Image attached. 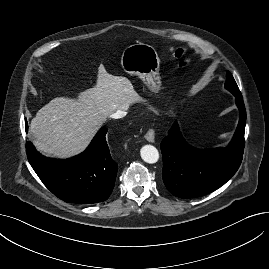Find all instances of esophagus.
<instances>
[{
	"label": "esophagus",
	"mask_w": 269,
	"mask_h": 269,
	"mask_svg": "<svg viewBox=\"0 0 269 269\" xmlns=\"http://www.w3.org/2000/svg\"><path fill=\"white\" fill-rule=\"evenodd\" d=\"M145 138L148 142L153 143L155 140V131L154 129H149L145 135Z\"/></svg>",
	"instance_id": "esophagus-1"
}]
</instances>
